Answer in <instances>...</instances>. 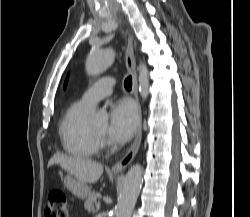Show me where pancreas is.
I'll use <instances>...</instances> for the list:
<instances>
[{
	"instance_id": "pancreas-1",
	"label": "pancreas",
	"mask_w": 250,
	"mask_h": 217,
	"mask_svg": "<svg viewBox=\"0 0 250 217\" xmlns=\"http://www.w3.org/2000/svg\"><path fill=\"white\" fill-rule=\"evenodd\" d=\"M97 195L95 192L90 193L85 201L84 207L88 212H95L94 204L96 203Z\"/></svg>"
}]
</instances>
